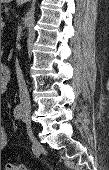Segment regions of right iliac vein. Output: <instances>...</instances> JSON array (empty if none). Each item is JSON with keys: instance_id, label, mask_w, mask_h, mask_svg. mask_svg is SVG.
<instances>
[{"instance_id": "right-iliac-vein-1", "label": "right iliac vein", "mask_w": 109, "mask_h": 170, "mask_svg": "<svg viewBox=\"0 0 109 170\" xmlns=\"http://www.w3.org/2000/svg\"><path fill=\"white\" fill-rule=\"evenodd\" d=\"M24 117L28 122H30V112L29 111L24 112Z\"/></svg>"}]
</instances>
